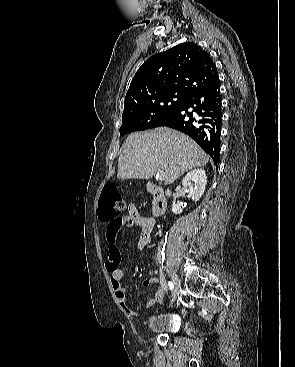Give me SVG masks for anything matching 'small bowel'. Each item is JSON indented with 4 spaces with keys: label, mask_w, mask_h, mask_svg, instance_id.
Here are the masks:
<instances>
[{
    "label": "small bowel",
    "mask_w": 295,
    "mask_h": 367,
    "mask_svg": "<svg viewBox=\"0 0 295 367\" xmlns=\"http://www.w3.org/2000/svg\"><path fill=\"white\" fill-rule=\"evenodd\" d=\"M125 226H137L140 228L138 249H144L151 242V235L155 226L153 218L143 216L138 209L132 205H128V214L118 218L117 220L108 221L106 229V241L108 244L109 255L105 263V267L110 274V281L115 293V297L121 308L130 315H135L136 310L128 305L125 288L122 285L123 270L120 267V250L118 246L120 231ZM153 283L159 284V288L154 295L146 302V307H152L159 303L166 292V286L163 279L158 276V271H151L142 280L143 286H149Z\"/></svg>",
    "instance_id": "1"
}]
</instances>
